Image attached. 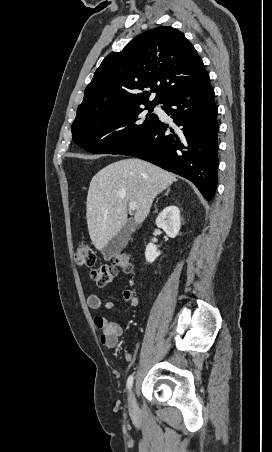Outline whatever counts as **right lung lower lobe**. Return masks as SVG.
<instances>
[{"label": "right lung lower lobe", "mask_w": 272, "mask_h": 452, "mask_svg": "<svg viewBox=\"0 0 272 452\" xmlns=\"http://www.w3.org/2000/svg\"><path fill=\"white\" fill-rule=\"evenodd\" d=\"M174 129L158 119L135 143L120 152L151 162L195 184L207 201L217 186V107L208 77L164 103Z\"/></svg>", "instance_id": "right-lung-lower-lobe-1"}]
</instances>
